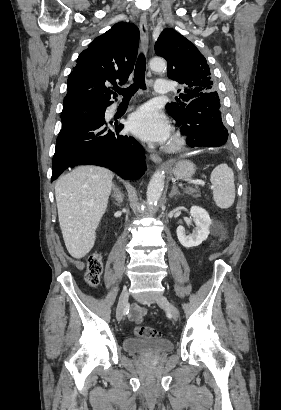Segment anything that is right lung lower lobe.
Masks as SVG:
<instances>
[{
    "label": "right lung lower lobe",
    "mask_w": 281,
    "mask_h": 410,
    "mask_svg": "<svg viewBox=\"0 0 281 410\" xmlns=\"http://www.w3.org/2000/svg\"><path fill=\"white\" fill-rule=\"evenodd\" d=\"M104 112L99 119H89L60 131L51 181L67 168L87 164L109 168L129 180L144 174L146 164L142 146L133 137L119 134L123 125L116 124L114 131L109 130Z\"/></svg>",
    "instance_id": "obj_1"
}]
</instances>
